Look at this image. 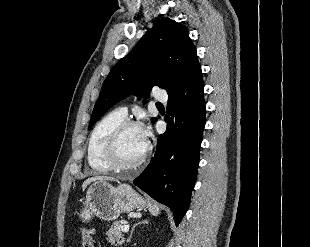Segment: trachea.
<instances>
[{"mask_svg": "<svg viewBox=\"0 0 310 247\" xmlns=\"http://www.w3.org/2000/svg\"><path fill=\"white\" fill-rule=\"evenodd\" d=\"M157 105H162L161 103H157Z\"/></svg>", "mask_w": 310, "mask_h": 247, "instance_id": "obj_1", "label": "trachea"}]
</instances>
